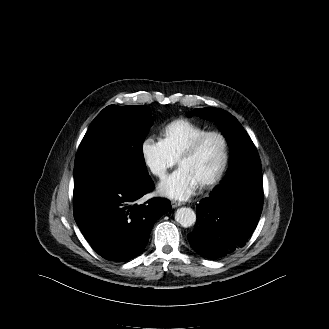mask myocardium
Returning a JSON list of instances; mask_svg holds the SVG:
<instances>
[{
	"label": "myocardium",
	"instance_id": "f54148a6",
	"mask_svg": "<svg viewBox=\"0 0 329 329\" xmlns=\"http://www.w3.org/2000/svg\"><path fill=\"white\" fill-rule=\"evenodd\" d=\"M210 136H216L221 140L222 145H223V158H222L221 164H220L219 168L217 169V171L212 176H210L209 178H207L199 183V185H201L203 187L210 186V185L217 183L223 177V175L225 174V172L227 170L229 160H230V145H229V141H228V138L226 137V135L224 133H222L221 131H217V130L205 131L204 133H202L199 136H197L196 138H194L188 144V146L182 151V153L179 155V157L177 159V163L179 165L182 160L193 156L199 149L202 142Z\"/></svg>",
	"mask_w": 329,
	"mask_h": 329
}]
</instances>
